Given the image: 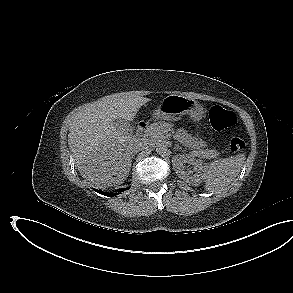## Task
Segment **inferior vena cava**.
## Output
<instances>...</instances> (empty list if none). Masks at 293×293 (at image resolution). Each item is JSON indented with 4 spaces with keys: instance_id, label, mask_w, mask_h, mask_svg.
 <instances>
[{
    "instance_id": "inferior-vena-cava-1",
    "label": "inferior vena cava",
    "mask_w": 293,
    "mask_h": 293,
    "mask_svg": "<svg viewBox=\"0 0 293 293\" xmlns=\"http://www.w3.org/2000/svg\"><path fill=\"white\" fill-rule=\"evenodd\" d=\"M148 147V142L146 140H136L134 141V153L144 150Z\"/></svg>"
}]
</instances>
